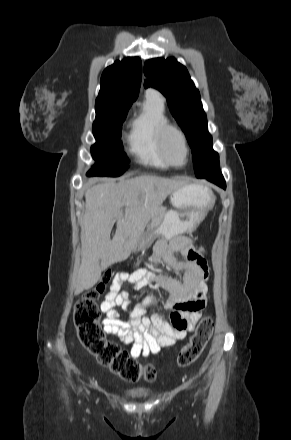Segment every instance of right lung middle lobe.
Returning a JSON list of instances; mask_svg holds the SVG:
<instances>
[{"label":"right lung middle lobe","instance_id":"right-lung-middle-lobe-1","mask_svg":"<svg viewBox=\"0 0 291 440\" xmlns=\"http://www.w3.org/2000/svg\"><path fill=\"white\" fill-rule=\"evenodd\" d=\"M130 107L116 105L95 108L93 135L96 143L91 147L96 164L88 176H120L128 169V158L120 141L121 126Z\"/></svg>","mask_w":291,"mask_h":440}]
</instances>
